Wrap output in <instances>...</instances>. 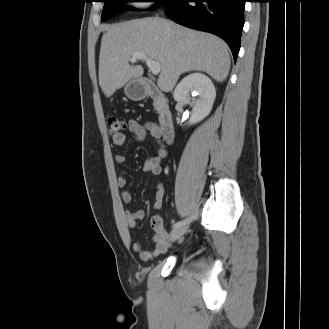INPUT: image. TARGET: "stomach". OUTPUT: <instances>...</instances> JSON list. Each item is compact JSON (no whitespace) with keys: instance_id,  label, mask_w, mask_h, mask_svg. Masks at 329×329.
I'll use <instances>...</instances> for the list:
<instances>
[{"instance_id":"0dacf381","label":"stomach","mask_w":329,"mask_h":329,"mask_svg":"<svg viewBox=\"0 0 329 329\" xmlns=\"http://www.w3.org/2000/svg\"><path fill=\"white\" fill-rule=\"evenodd\" d=\"M124 92L129 99L140 101L146 97L148 85L142 79H134L125 85Z\"/></svg>"}]
</instances>
